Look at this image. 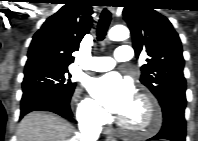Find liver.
I'll use <instances>...</instances> for the list:
<instances>
[{
  "label": "liver",
  "instance_id": "liver-1",
  "mask_svg": "<svg viewBox=\"0 0 198 141\" xmlns=\"http://www.w3.org/2000/svg\"><path fill=\"white\" fill-rule=\"evenodd\" d=\"M18 141H76L73 126L63 118L49 112H32L20 122Z\"/></svg>",
  "mask_w": 198,
  "mask_h": 141
}]
</instances>
